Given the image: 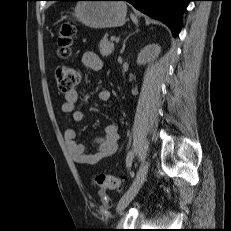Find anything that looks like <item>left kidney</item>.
I'll return each instance as SVG.
<instances>
[{"label": "left kidney", "instance_id": "left-kidney-1", "mask_svg": "<svg viewBox=\"0 0 231 231\" xmlns=\"http://www.w3.org/2000/svg\"><path fill=\"white\" fill-rule=\"evenodd\" d=\"M160 46L157 44H149L145 46L137 57V64L144 65L147 62L151 61L155 57H157L160 53Z\"/></svg>", "mask_w": 231, "mask_h": 231}]
</instances>
